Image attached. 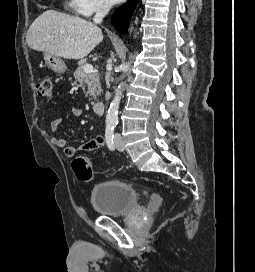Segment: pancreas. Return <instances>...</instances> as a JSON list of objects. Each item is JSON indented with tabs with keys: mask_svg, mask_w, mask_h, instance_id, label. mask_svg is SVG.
<instances>
[{
	"mask_svg": "<svg viewBox=\"0 0 255 272\" xmlns=\"http://www.w3.org/2000/svg\"><path fill=\"white\" fill-rule=\"evenodd\" d=\"M80 65L74 72V78L80 83L83 91L86 93V97L89 95V100H96L101 94L100 74L98 71L91 73L84 72V66ZM87 87V90H85Z\"/></svg>",
	"mask_w": 255,
	"mask_h": 272,
	"instance_id": "obj_1",
	"label": "pancreas"
}]
</instances>
